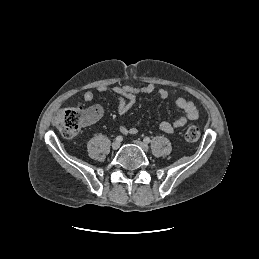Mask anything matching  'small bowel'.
Listing matches in <instances>:
<instances>
[{
  "instance_id": "c3829d8e",
  "label": "small bowel",
  "mask_w": 259,
  "mask_h": 259,
  "mask_svg": "<svg viewBox=\"0 0 259 259\" xmlns=\"http://www.w3.org/2000/svg\"><path fill=\"white\" fill-rule=\"evenodd\" d=\"M97 90L99 92H109L118 98V111L120 114L127 113L133 107L137 96L140 94H152L156 92L157 96L161 99H166L168 97L167 90L162 88L156 89V86L153 83L140 87L130 85H100L97 87ZM93 97L94 94L90 90L83 93V98L85 101H91ZM175 104L184 112V116L177 118L173 122L162 121L159 124V129L167 134L174 133L176 129L183 127L188 121L197 120L199 117V110L192 101H189L183 97H178ZM92 111L94 115L91 121L98 120L102 115V109L99 106H94ZM120 132L124 135H135L138 131L135 127L121 126Z\"/></svg>"
}]
</instances>
